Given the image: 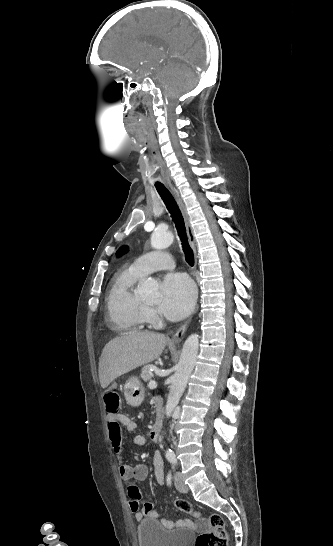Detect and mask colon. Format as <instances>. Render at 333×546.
<instances>
[{"label":"colon","mask_w":333,"mask_h":546,"mask_svg":"<svg viewBox=\"0 0 333 546\" xmlns=\"http://www.w3.org/2000/svg\"><path fill=\"white\" fill-rule=\"evenodd\" d=\"M105 405L110 415H117L120 410V396L114 391L113 393L105 394ZM117 435H120L118 429ZM174 506L181 512L190 514L194 512L193 506L185 500H177ZM208 529L198 535L195 541V546H227V534L225 530L224 520L218 514L208 516Z\"/></svg>","instance_id":"5ec220e1"}]
</instances>
